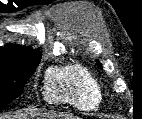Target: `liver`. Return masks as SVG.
I'll return each mask as SVG.
<instances>
[{"mask_svg":"<svg viewBox=\"0 0 142 119\" xmlns=\"http://www.w3.org/2000/svg\"><path fill=\"white\" fill-rule=\"evenodd\" d=\"M15 117H23V119H75L71 115H57L55 113H50V112H36L35 110H28L24 114H21L19 116ZM0 119H12L10 116H0ZM15 119V118H13Z\"/></svg>","mask_w":142,"mask_h":119,"instance_id":"obj_1","label":"liver"}]
</instances>
